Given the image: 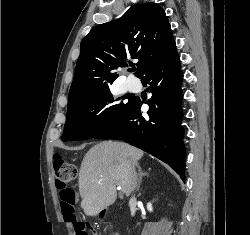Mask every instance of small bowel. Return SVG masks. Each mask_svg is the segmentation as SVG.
<instances>
[{"mask_svg":"<svg viewBox=\"0 0 250 235\" xmlns=\"http://www.w3.org/2000/svg\"><path fill=\"white\" fill-rule=\"evenodd\" d=\"M92 231H93V235H97V234H96V232H95L94 230H92ZM114 235H117V233H116V234H114Z\"/></svg>","mask_w":250,"mask_h":235,"instance_id":"obj_1","label":"small bowel"}]
</instances>
